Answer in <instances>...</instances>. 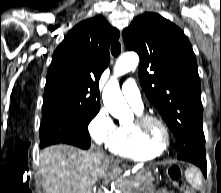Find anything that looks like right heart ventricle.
Instances as JSON below:
<instances>
[{"label":"right heart ventricle","instance_id":"right-heart-ventricle-1","mask_svg":"<svg viewBox=\"0 0 221 193\" xmlns=\"http://www.w3.org/2000/svg\"><path fill=\"white\" fill-rule=\"evenodd\" d=\"M141 114V111H137ZM109 151L119 157L141 159L160 155L162 151L145 140L135 128L134 122L118 126Z\"/></svg>","mask_w":221,"mask_h":193}]
</instances>
